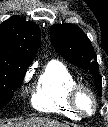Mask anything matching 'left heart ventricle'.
<instances>
[{
  "mask_svg": "<svg viewBox=\"0 0 108 127\" xmlns=\"http://www.w3.org/2000/svg\"><path fill=\"white\" fill-rule=\"evenodd\" d=\"M80 102H81V105H82L85 109H87V110L90 109V107H91V102H90V99H89L87 96H83V97L81 98Z\"/></svg>",
  "mask_w": 108,
  "mask_h": 127,
  "instance_id": "1",
  "label": "left heart ventricle"
}]
</instances>
